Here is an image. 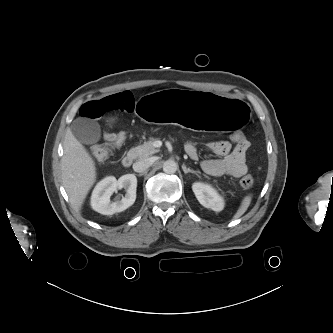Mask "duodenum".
I'll list each match as a JSON object with an SVG mask.
<instances>
[{"label":"duodenum","instance_id":"duodenum-1","mask_svg":"<svg viewBox=\"0 0 333 333\" xmlns=\"http://www.w3.org/2000/svg\"><path fill=\"white\" fill-rule=\"evenodd\" d=\"M133 163V156L132 155H126L122 159V165L127 168L130 167Z\"/></svg>","mask_w":333,"mask_h":333}]
</instances>
